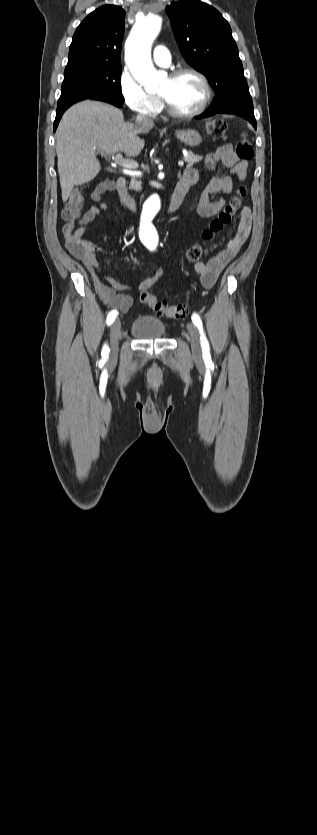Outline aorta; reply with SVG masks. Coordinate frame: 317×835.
Listing matches in <instances>:
<instances>
[{
	"instance_id": "obj_1",
	"label": "aorta",
	"mask_w": 317,
	"mask_h": 835,
	"mask_svg": "<svg viewBox=\"0 0 317 835\" xmlns=\"http://www.w3.org/2000/svg\"><path fill=\"white\" fill-rule=\"evenodd\" d=\"M162 16L150 13L138 19L125 43V61L135 80L144 87L146 92L158 90L161 80L166 73L158 71L151 59V47L158 36ZM161 206L160 198L154 194L144 203L140 234L157 241L154 219Z\"/></svg>"
}]
</instances>
